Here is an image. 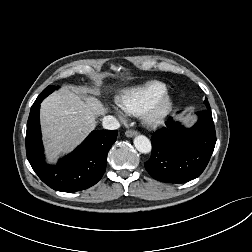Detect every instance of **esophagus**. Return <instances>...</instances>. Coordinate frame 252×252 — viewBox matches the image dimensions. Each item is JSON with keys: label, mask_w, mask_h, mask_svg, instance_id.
<instances>
[{"label": "esophagus", "mask_w": 252, "mask_h": 252, "mask_svg": "<svg viewBox=\"0 0 252 252\" xmlns=\"http://www.w3.org/2000/svg\"><path fill=\"white\" fill-rule=\"evenodd\" d=\"M137 134H138V132L135 131V130H127V131L125 132L126 137H129V138H131V137H133V136H135V135H137Z\"/></svg>", "instance_id": "1"}]
</instances>
